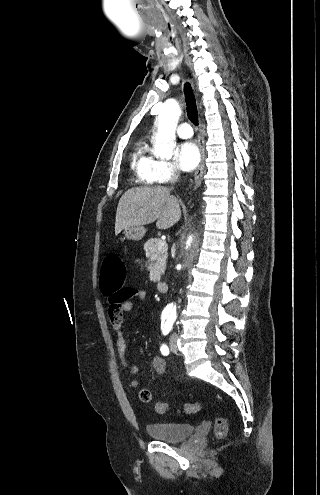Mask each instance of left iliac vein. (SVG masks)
I'll list each match as a JSON object with an SVG mask.
<instances>
[{
  "label": "left iliac vein",
  "mask_w": 320,
  "mask_h": 495,
  "mask_svg": "<svg viewBox=\"0 0 320 495\" xmlns=\"http://www.w3.org/2000/svg\"><path fill=\"white\" fill-rule=\"evenodd\" d=\"M176 340H177V335L176 334H172L171 337H170V340H169V347H170V350L173 353H177L178 352L177 345H176Z\"/></svg>",
  "instance_id": "4c4485c4"
}]
</instances>
